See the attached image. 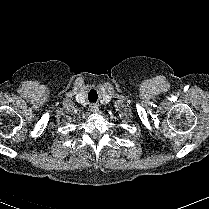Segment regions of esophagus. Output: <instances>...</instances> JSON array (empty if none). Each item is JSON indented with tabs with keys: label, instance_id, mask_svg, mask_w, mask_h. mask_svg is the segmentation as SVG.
<instances>
[{
	"label": "esophagus",
	"instance_id": "1",
	"mask_svg": "<svg viewBox=\"0 0 209 209\" xmlns=\"http://www.w3.org/2000/svg\"><path fill=\"white\" fill-rule=\"evenodd\" d=\"M89 107H90L91 112H93V113L99 112V107L97 104H90Z\"/></svg>",
	"mask_w": 209,
	"mask_h": 209
}]
</instances>
